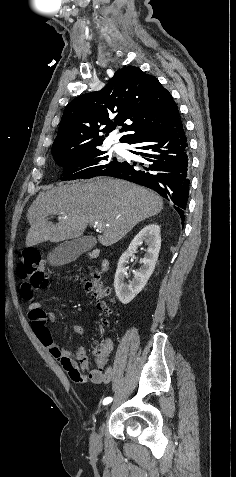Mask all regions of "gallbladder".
<instances>
[{"label": "gallbladder", "instance_id": "bac80fb5", "mask_svg": "<svg viewBox=\"0 0 236 477\" xmlns=\"http://www.w3.org/2000/svg\"><path fill=\"white\" fill-rule=\"evenodd\" d=\"M95 244L96 240L91 236L67 240L49 253L48 260L53 265L67 264L76 260L83 252L91 250Z\"/></svg>", "mask_w": 236, "mask_h": 477}]
</instances>
